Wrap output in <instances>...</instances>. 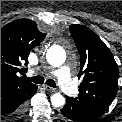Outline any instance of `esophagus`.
I'll return each mask as SVG.
<instances>
[{
	"instance_id": "obj_1",
	"label": "esophagus",
	"mask_w": 122,
	"mask_h": 122,
	"mask_svg": "<svg viewBox=\"0 0 122 122\" xmlns=\"http://www.w3.org/2000/svg\"><path fill=\"white\" fill-rule=\"evenodd\" d=\"M43 87H44V89H45L46 91H48V92H55V89L52 88V87H50V86H48V85H44Z\"/></svg>"
}]
</instances>
